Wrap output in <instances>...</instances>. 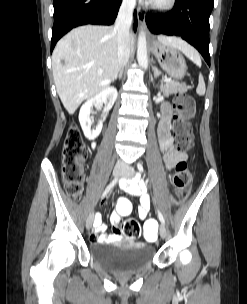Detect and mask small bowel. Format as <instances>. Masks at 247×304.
Listing matches in <instances>:
<instances>
[{
    "mask_svg": "<svg viewBox=\"0 0 247 304\" xmlns=\"http://www.w3.org/2000/svg\"><path fill=\"white\" fill-rule=\"evenodd\" d=\"M158 137L160 150L164 154L165 166L170 170L179 163L183 155L177 150L174 144L171 133V108L168 104H165L162 108V117L158 125ZM120 186L125 192L140 197L138 216L140 219H146L150 211V197L147 192L146 183L136 177L131 181L122 182ZM112 221L113 223L119 221V215L117 213L112 215ZM105 229L101 216H97L91 240L93 242H106L121 239L122 235L118 228H115L111 235H107Z\"/></svg>",
    "mask_w": 247,
    "mask_h": 304,
    "instance_id": "1",
    "label": "small bowel"
}]
</instances>
